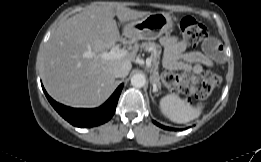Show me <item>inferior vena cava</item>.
Segmentation results:
<instances>
[{
	"instance_id": "1",
	"label": "inferior vena cava",
	"mask_w": 261,
	"mask_h": 162,
	"mask_svg": "<svg viewBox=\"0 0 261 162\" xmlns=\"http://www.w3.org/2000/svg\"><path fill=\"white\" fill-rule=\"evenodd\" d=\"M131 69V64L128 62L120 63L113 69V75L115 77H126Z\"/></svg>"
}]
</instances>
